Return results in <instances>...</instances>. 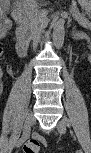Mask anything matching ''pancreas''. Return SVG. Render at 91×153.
Wrapping results in <instances>:
<instances>
[{"mask_svg": "<svg viewBox=\"0 0 91 153\" xmlns=\"http://www.w3.org/2000/svg\"><path fill=\"white\" fill-rule=\"evenodd\" d=\"M72 13L75 17V19L79 22L80 25L86 27V28H90V21L84 16V15H81L77 9H73L72 10ZM37 24V21H36V17L33 16L31 18H29L25 23H24V30L26 32V35L28 38H30L32 36V32L35 28Z\"/></svg>", "mask_w": 91, "mask_h": 153, "instance_id": "obj_1", "label": "pancreas"}]
</instances>
